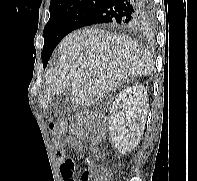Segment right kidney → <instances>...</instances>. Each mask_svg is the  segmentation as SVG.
<instances>
[{"label": "right kidney", "instance_id": "obj_1", "mask_svg": "<svg viewBox=\"0 0 197 181\" xmlns=\"http://www.w3.org/2000/svg\"><path fill=\"white\" fill-rule=\"evenodd\" d=\"M147 90L142 85L124 89L110 109L109 131L115 148L122 154L136 147L145 128Z\"/></svg>", "mask_w": 197, "mask_h": 181}]
</instances>
